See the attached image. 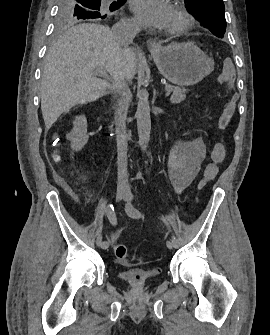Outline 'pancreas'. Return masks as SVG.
<instances>
[{"label": "pancreas", "mask_w": 270, "mask_h": 335, "mask_svg": "<svg viewBox=\"0 0 270 335\" xmlns=\"http://www.w3.org/2000/svg\"><path fill=\"white\" fill-rule=\"evenodd\" d=\"M166 90L167 92H172V96L170 98L171 104H180L182 100H185L186 92H188L185 88H175V86H166Z\"/></svg>", "instance_id": "cf45deb5"}]
</instances>
